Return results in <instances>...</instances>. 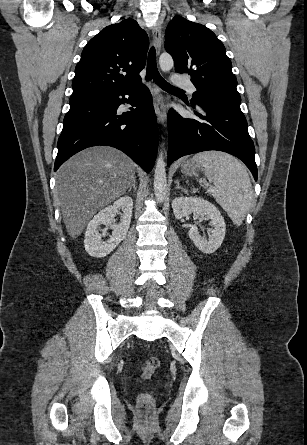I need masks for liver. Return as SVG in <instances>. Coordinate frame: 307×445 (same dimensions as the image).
I'll use <instances>...</instances> for the list:
<instances>
[{
  "label": "liver",
  "instance_id": "obj_1",
  "mask_svg": "<svg viewBox=\"0 0 307 445\" xmlns=\"http://www.w3.org/2000/svg\"><path fill=\"white\" fill-rule=\"evenodd\" d=\"M135 168L129 156L112 146L85 148L60 166L55 198L72 239L81 235L95 212L126 192Z\"/></svg>",
  "mask_w": 307,
  "mask_h": 445
}]
</instances>
